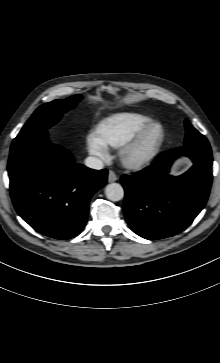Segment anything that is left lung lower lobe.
I'll list each match as a JSON object with an SVG mask.
<instances>
[{"label":"left lung lower lobe","mask_w":220,"mask_h":363,"mask_svg":"<svg viewBox=\"0 0 220 363\" xmlns=\"http://www.w3.org/2000/svg\"><path fill=\"white\" fill-rule=\"evenodd\" d=\"M180 155L191 158L193 166L181 176L168 175ZM121 180L125 189L123 209L130 228L150 240L174 236L186 229L206 204L212 182L211 148L184 145Z\"/></svg>","instance_id":"left-lung-lower-lobe-1"}]
</instances>
